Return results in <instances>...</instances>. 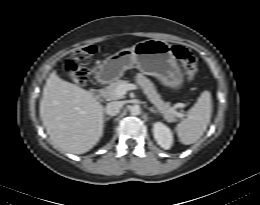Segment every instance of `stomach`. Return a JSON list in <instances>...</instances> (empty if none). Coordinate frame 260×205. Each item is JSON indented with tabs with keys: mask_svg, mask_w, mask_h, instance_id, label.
Here are the masks:
<instances>
[{
	"mask_svg": "<svg viewBox=\"0 0 260 205\" xmlns=\"http://www.w3.org/2000/svg\"><path fill=\"white\" fill-rule=\"evenodd\" d=\"M131 67L156 77L163 85L172 89L178 90L183 85L184 75L171 45L165 40H145L109 56L99 68L98 80L102 83L115 81Z\"/></svg>",
	"mask_w": 260,
	"mask_h": 205,
	"instance_id": "1",
	"label": "stomach"
}]
</instances>
